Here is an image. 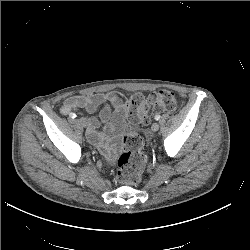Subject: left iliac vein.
<instances>
[{
    "label": "left iliac vein",
    "instance_id": "4c4485c4",
    "mask_svg": "<svg viewBox=\"0 0 250 250\" xmlns=\"http://www.w3.org/2000/svg\"><path fill=\"white\" fill-rule=\"evenodd\" d=\"M158 129H159V124L158 123H153L152 126H151V130L153 132H156V131H158Z\"/></svg>",
    "mask_w": 250,
    "mask_h": 250
}]
</instances>
